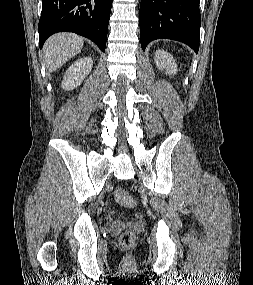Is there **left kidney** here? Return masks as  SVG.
<instances>
[{
    "mask_svg": "<svg viewBox=\"0 0 253 285\" xmlns=\"http://www.w3.org/2000/svg\"><path fill=\"white\" fill-rule=\"evenodd\" d=\"M155 63L160 70H165L168 75H175L177 73V64L173 56L164 50H157L155 52Z\"/></svg>",
    "mask_w": 253,
    "mask_h": 285,
    "instance_id": "left-kidney-1",
    "label": "left kidney"
}]
</instances>
